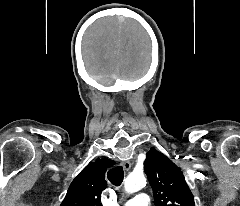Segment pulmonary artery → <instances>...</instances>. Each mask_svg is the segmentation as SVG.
<instances>
[{"label": "pulmonary artery", "instance_id": "e3ab8cb5", "mask_svg": "<svg viewBox=\"0 0 240 206\" xmlns=\"http://www.w3.org/2000/svg\"><path fill=\"white\" fill-rule=\"evenodd\" d=\"M124 206H149V198L145 193H139L134 198L125 202Z\"/></svg>", "mask_w": 240, "mask_h": 206}]
</instances>
